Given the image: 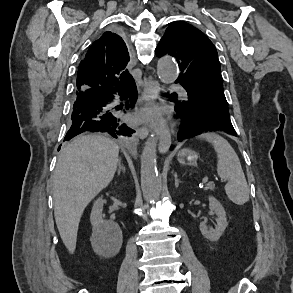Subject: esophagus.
<instances>
[{
	"label": "esophagus",
	"instance_id": "obj_1",
	"mask_svg": "<svg viewBox=\"0 0 293 293\" xmlns=\"http://www.w3.org/2000/svg\"><path fill=\"white\" fill-rule=\"evenodd\" d=\"M159 93V84L155 80H149L148 78H144V86H143V100L144 103H150L154 101ZM155 129L159 135V151L161 153L166 152L169 149L170 145V135L168 126L164 119H160L158 124H155ZM148 128L146 126L140 127L137 129V135L139 138L144 139L148 134Z\"/></svg>",
	"mask_w": 293,
	"mask_h": 293
}]
</instances>
